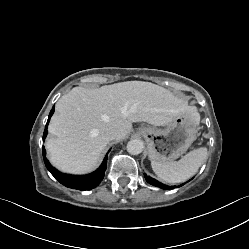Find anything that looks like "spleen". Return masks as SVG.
<instances>
[{
    "label": "spleen",
    "instance_id": "spleen-1",
    "mask_svg": "<svg viewBox=\"0 0 249 249\" xmlns=\"http://www.w3.org/2000/svg\"><path fill=\"white\" fill-rule=\"evenodd\" d=\"M207 158V148L194 149L179 161L157 162L151 161L154 173L162 181L170 184L181 183L192 177Z\"/></svg>",
    "mask_w": 249,
    "mask_h": 249
}]
</instances>
